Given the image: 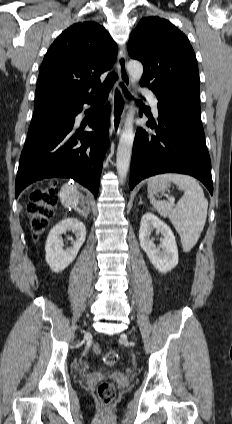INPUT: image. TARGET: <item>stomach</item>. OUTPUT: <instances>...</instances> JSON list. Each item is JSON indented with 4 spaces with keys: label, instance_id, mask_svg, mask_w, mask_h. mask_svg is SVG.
<instances>
[{
    "label": "stomach",
    "instance_id": "0dacf381",
    "mask_svg": "<svg viewBox=\"0 0 232 424\" xmlns=\"http://www.w3.org/2000/svg\"><path fill=\"white\" fill-rule=\"evenodd\" d=\"M149 189L153 192H163L170 187L169 181L162 176H157L149 180Z\"/></svg>",
    "mask_w": 232,
    "mask_h": 424
}]
</instances>
